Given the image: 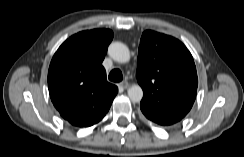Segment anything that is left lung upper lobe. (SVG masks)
Instances as JSON below:
<instances>
[{"mask_svg": "<svg viewBox=\"0 0 244 157\" xmlns=\"http://www.w3.org/2000/svg\"><path fill=\"white\" fill-rule=\"evenodd\" d=\"M136 77L144 93L140 109L152 122L169 126L190 111L197 93V72L191 53L176 38L143 32Z\"/></svg>", "mask_w": 244, "mask_h": 157, "instance_id": "obj_1", "label": "left lung upper lobe"}]
</instances>
